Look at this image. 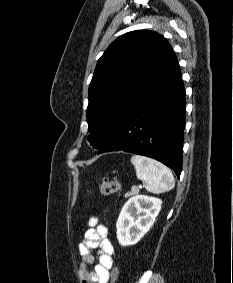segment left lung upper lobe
Instances as JSON below:
<instances>
[{"mask_svg":"<svg viewBox=\"0 0 233 283\" xmlns=\"http://www.w3.org/2000/svg\"><path fill=\"white\" fill-rule=\"evenodd\" d=\"M173 51L160 34L137 30L113 41L97 62L87 107L90 144L100 150L114 136L144 86Z\"/></svg>","mask_w":233,"mask_h":283,"instance_id":"obj_1","label":"left lung upper lobe"}]
</instances>
